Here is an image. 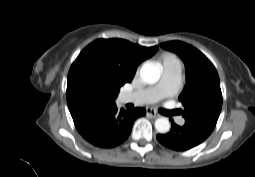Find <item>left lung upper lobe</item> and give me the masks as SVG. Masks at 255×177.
Masks as SVG:
<instances>
[{
	"mask_svg": "<svg viewBox=\"0 0 255 177\" xmlns=\"http://www.w3.org/2000/svg\"><path fill=\"white\" fill-rule=\"evenodd\" d=\"M160 46L175 52L185 62L186 85L179 96L185 125L210 135L222 108L220 81L214 65L203 53L184 42L169 41Z\"/></svg>",
	"mask_w": 255,
	"mask_h": 177,
	"instance_id": "1",
	"label": "left lung upper lobe"
}]
</instances>
